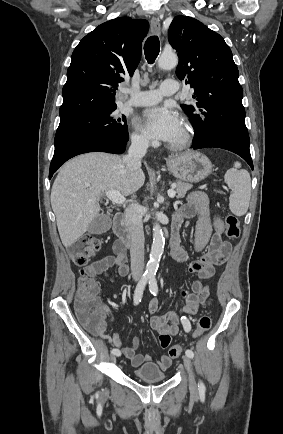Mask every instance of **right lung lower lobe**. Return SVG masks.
Returning <instances> with one entry per match:
<instances>
[{"label":"right lung lower lobe","instance_id":"1","mask_svg":"<svg viewBox=\"0 0 283 434\" xmlns=\"http://www.w3.org/2000/svg\"><path fill=\"white\" fill-rule=\"evenodd\" d=\"M128 140L108 134H93L73 139L64 145L55 148L50 164L49 178L68 159L87 152H107L122 154Z\"/></svg>","mask_w":283,"mask_h":434}]
</instances>
